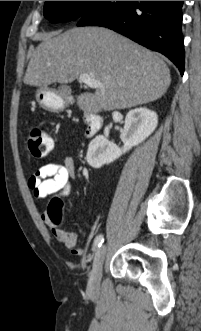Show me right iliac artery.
I'll return each instance as SVG.
<instances>
[{
    "mask_svg": "<svg viewBox=\"0 0 201 331\" xmlns=\"http://www.w3.org/2000/svg\"><path fill=\"white\" fill-rule=\"evenodd\" d=\"M104 242V236L103 235H98L96 236V238L94 239V248L93 250H95L96 248H99L102 243Z\"/></svg>",
    "mask_w": 201,
    "mask_h": 331,
    "instance_id": "82829eb1",
    "label": "right iliac artery"
}]
</instances>
